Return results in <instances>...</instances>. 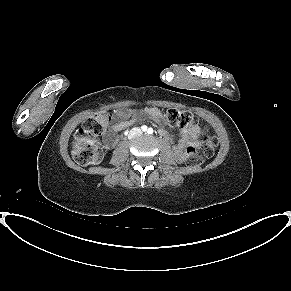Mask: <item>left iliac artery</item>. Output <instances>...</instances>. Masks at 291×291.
I'll use <instances>...</instances> for the list:
<instances>
[{
  "mask_svg": "<svg viewBox=\"0 0 291 291\" xmlns=\"http://www.w3.org/2000/svg\"><path fill=\"white\" fill-rule=\"evenodd\" d=\"M147 132H148L149 134H152V133H153V129H152V128H149Z\"/></svg>",
  "mask_w": 291,
  "mask_h": 291,
  "instance_id": "1",
  "label": "left iliac artery"
}]
</instances>
